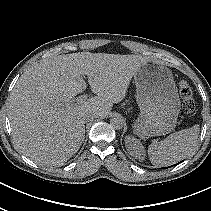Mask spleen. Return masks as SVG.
Masks as SVG:
<instances>
[{
  "label": "spleen",
  "mask_w": 211,
  "mask_h": 211,
  "mask_svg": "<svg viewBox=\"0 0 211 211\" xmlns=\"http://www.w3.org/2000/svg\"><path fill=\"white\" fill-rule=\"evenodd\" d=\"M199 130V125H194L175 132L160 142L153 141L148 147L151 163L163 167L185 159L197 145Z\"/></svg>",
  "instance_id": "3e777b00"
}]
</instances>
